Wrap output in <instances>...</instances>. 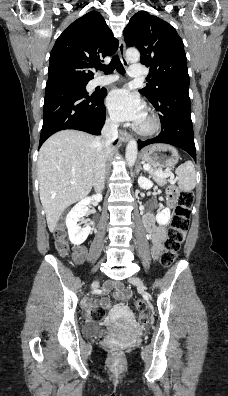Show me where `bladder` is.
Masks as SVG:
<instances>
[{
    "label": "bladder",
    "instance_id": "1",
    "mask_svg": "<svg viewBox=\"0 0 228 396\" xmlns=\"http://www.w3.org/2000/svg\"><path fill=\"white\" fill-rule=\"evenodd\" d=\"M109 329L99 328L95 325H91L85 328L84 334L87 338L98 337L105 334Z\"/></svg>",
    "mask_w": 228,
    "mask_h": 396
}]
</instances>
